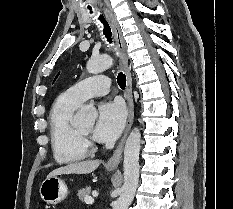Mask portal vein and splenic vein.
Segmentation results:
<instances>
[{"mask_svg": "<svg viewBox=\"0 0 233 209\" xmlns=\"http://www.w3.org/2000/svg\"><path fill=\"white\" fill-rule=\"evenodd\" d=\"M85 203L88 205H91L94 203V199L92 197H86L85 198Z\"/></svg>", "mask_w": 233, "mask_h": 209, "instance_id": "portal-vein-and-splenic-vein-1", "label": "portal vein and splenic vein"}]
</instances>
